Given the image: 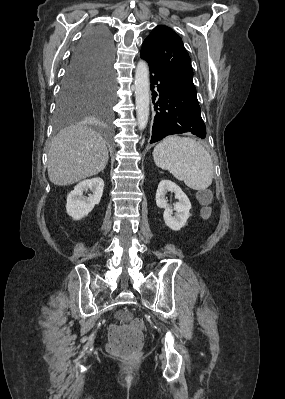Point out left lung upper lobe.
Here are the masks:
<instances>
[{
    "instance_id": "1",
    "label": "left lung upper lobe",
    "mask_w": 285,
    "mask_h": 399,
    "mask_svg": "<svg viewBox=\"0 0 285 399\" xmlns=\"http://www.w3.org/2000/svg\"><path fill=\"white\" fill-rule=\"evenodd\" d=\"M141 52L197 98L190 57L182 39L171 28L155 27L144 40Z\"/></svg>"
}]
</instances>
